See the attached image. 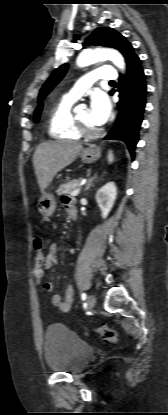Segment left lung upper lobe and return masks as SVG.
<instances>
[{"label":"left lung upper lobe","mask_w":168,"mask_h":415,"mask_svg":"<svg viewBox=\"0 0 168 415\" xmlns=\"http://www.w3.org/2000/svg\"><path fill=\"white\" fill-rule=\"evenodd\" d=\"M86 43L92 45H103L106 47H113L118 49L124 55L127 64L135 56L132 45L126 40L124 36L112 28L102 27L96 29L86 39ZM67 69L68 64H63L51 74V76L43 84L38 96V100H42L46 97V95L54 88V86L58 84L64 77Z\"/></svg>","instance_id":"left-lung-upper-lobe-1"}]
</instances>
